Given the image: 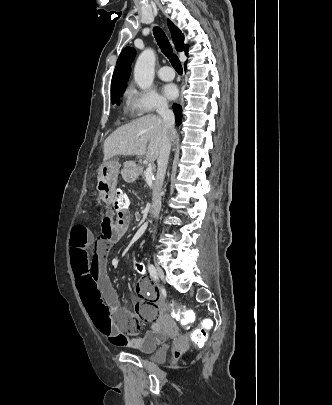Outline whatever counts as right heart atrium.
<instances>
[{
    "label": "right heart atrium",
    "mask_w": 332,
    "mask_h": 405,
    "mask_svg": "<svg viewBox=\"0 0 332 405\" xmlns=\"http://www.w3.org/2000/svg\"><path fill=\"white\" fill-rule=\"evenodd\" d=\"M130 106L135 115L147 116L165 110L168 103L165 98L154 90L138 91L132 88L130 91Z\"/></svg>",
    "instance_id": "obj_1"
}]
</instances>
